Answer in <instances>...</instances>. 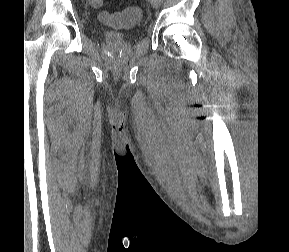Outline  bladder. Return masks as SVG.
<instances>
[{
	"instance_id": "31cf9c89",
	"label": "bladder",
	"mask_w": 289,
	"mask_h": 252,
	"mask_svg": "<svg viewBox=\"0 0 289 252\" xmlns=\"http://www.w3.org/2000/svg\"><path fill=\"white\" fill-rule=\"evenodd\" d=\"M101 33L108 43L113 44L124 43L133 36V33H125L114 30H103Z\"/></svg>"
}]
</instances>
